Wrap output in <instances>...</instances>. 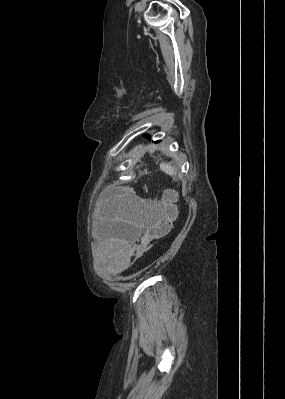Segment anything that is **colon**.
<instances>
[{"mask_svg": "<svg viewBox=\"0 0 285 399\" xmlns=\"http://www.w3.org/2000/svg\"><path fill=\"white\" fill-rule=\"evenodd\" d=\"M157 210L161 212L162 218L150 235L136 244V249L140 253H145L156 239L163 237L170 231L176 217V207L172 201V196L168 195L166 203L158 206Z\"/></svg>", "mask_w": 285, "mask_h": 399, "instance_id": "obj_1", "label": "colon"}]
</instances>
